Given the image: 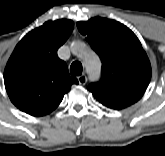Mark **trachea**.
<instances>
[{"mask_svg": "<svg viewBox=\"0 0 165 156\" xmlns=\"http://www.w3.org/2000/svg\"><path fill=\"white\" fill-rule=\"evenodd\" d=\"M83 71L82 64L79 61H75L70 66V73L72 76L81 75Z\"/></svg>", "mask_w": 165, "mask_h": 156, "instance_id": "obj_1", "label": "trachea"}]
</instances>
